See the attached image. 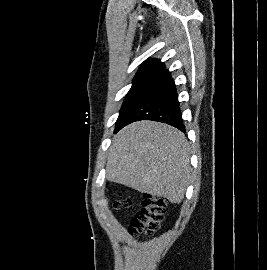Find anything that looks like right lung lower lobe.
Masks as SVG:
<instances>
[{"mask_svg": "<svg viewBox=\"0 0 267 270\" xmlns=\"http://www.w3.org/2000/svg\"><path fill=\"white\" fill-rule=\"evenodd\" d=\"M139 120L167 123L185 132L176 86L167 69L155 76L148 89L128 111L123 124L114 133Z\"/></svg>", "mask_w": 267, "mask_h": 270, "instance_id": "98d812e1", "label": "right lung lower lobe"}]
</instances>
